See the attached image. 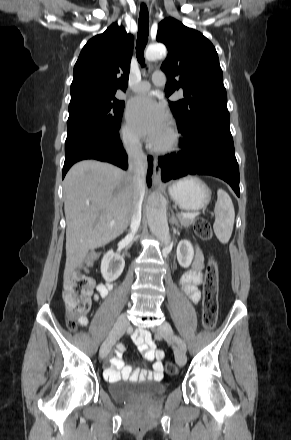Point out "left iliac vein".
<instances>
[{"label": "left iliac vein", "mask_w": 291, "mask_h": 440, "mask_svg": "<svg viewBox=\"0 0 291 440\" xmlns=\"http://www.w3.org/2000/svg\"><path fill=\"white\" fill-rule=\"evenodd\" d=\"M157 332L163 338H165L169 343L173 344L176 363L180 367H183L186 364V360H187L186 353L181 347L174 345V340H173L174 332L171 325L168 322H163L157 328Z\"/></svg>", "instance_id": "1"}]
</instances>
